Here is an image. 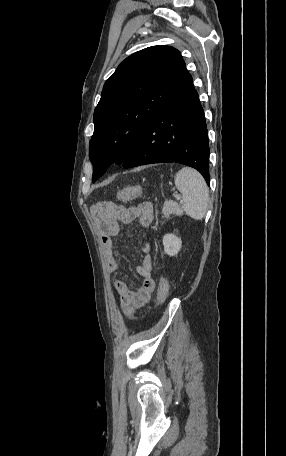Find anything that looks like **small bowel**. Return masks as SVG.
I'll return each instance as SVG.
<instances>
[{
	"label": "small bowel",
	"instance_id": "c3829d8e",
	"mask_svg": "<svg viewBox=\"0 0 286 456\" xmlns=\"http://www.w3.org/2000/svg\"><path fill=\"white\" fill-rule=\"evenodd\" d=\"M93 218L101 231L104 263L109 271L115 272L119 269L113 243V236L118 233L117 220L125 223L138 221L141 227L148 228L154 221V207L150 202H144L135 207H126L113 203L111 210L95 209ZM144 250L146 254L137 269L142 279L139 288L131 290L123 280L113 282V287L119 295L120 306L127 315L144 306L149 301L154 289L155 283L151 276L153 260L148 253L149 246L146 245Z\"/></svg>",
	"mask_w": 286,
	"mask_h": 456
}]
</instances>
